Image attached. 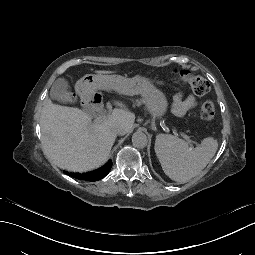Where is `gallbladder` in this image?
Masks as SVG:
<instances>
[{
	"mask_svg": "<svg viewBox=\"0 0 255 255\" xmlns=\"http://www.w3.org/2000/svg\"><path fill=\"white\" fill-rule=\"evenodd\" d=\"M50 99L53 101L66 102L72 100L69 83L65 78H57L50 90ZM82 111L87 113V107L83 106Z\"/></svg>",
	"mask_w": 255,
	"mask_h": 255,
	"instance_id": "bac80fb5",
	"label": "gallbladder"
}]
</instances>
